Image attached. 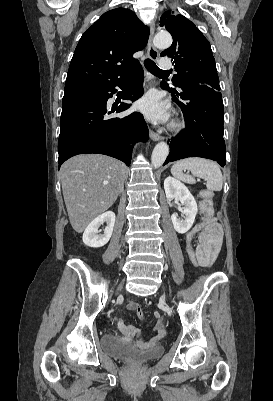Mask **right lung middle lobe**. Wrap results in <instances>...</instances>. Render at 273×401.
<instances>
[{"mask_svg": "<svg viewBox=\"0 0 273 401\" xmlns=\"http://www.w3.org/2000/svg\"><path fill=\"white\" fill-rule=\"evenodd\" d=\"M83 96V95H81ZM81 96H70V97H63L62 105L72 102L73 100L81 97Z\"/></svg>", "mask_w": 273, "mask_h": 401, "instance_id": "right-lung-middle-lobe-1", "label": "right lung middle lobe"}]
</instances>
